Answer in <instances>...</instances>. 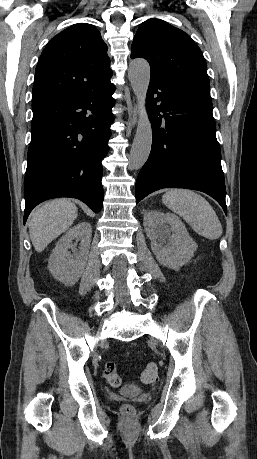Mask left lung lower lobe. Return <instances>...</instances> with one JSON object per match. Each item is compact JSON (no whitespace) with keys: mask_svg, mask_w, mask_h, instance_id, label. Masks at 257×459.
<instances>
[{"mask_svg":"<svg viewBox=\"0 0 257 459\" xmlns=\"http://www.w3.org/2000/svg\"><path fill=\"white\" fill-rule=\"evenodd\" d=\"M147 110L153 141L136 181V203L161 188H186L212 196L227 214L209 85L151 79Z\"/></svg>","mask_w":257,"mask_h":459,"instance_id":"1","label":"left lung lower lobe"}]
</instances>
